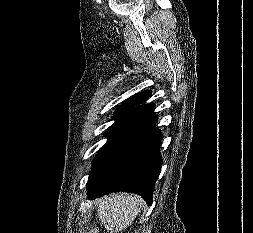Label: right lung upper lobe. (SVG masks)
<instances>
[{
    "mask_svg": "<svg viewBox=\"0 0 253 233\" xmlns=\"http://www.w3.org/2000/svg\"><path fill=\"white\" fill-rule=\"evenodd\" d=\"M150 95H151V91H142L131 96L130 98L125 100L123 103L138 105L144 102L145 100H147Z\"/></svg>",
    "mask_w": 253,
    "mask_h": 233,
    "instance_id": "obj_1",
    "label": "right lung upper lobe"
}]
</instances>
